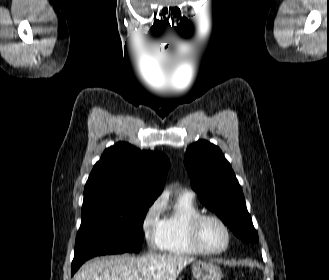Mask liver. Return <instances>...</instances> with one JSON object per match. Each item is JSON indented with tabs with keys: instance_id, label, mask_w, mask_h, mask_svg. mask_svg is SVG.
Wrapping results in <instances>:
<instances>
[{
	"instance_id": "liver-1",
	"label": "liver",
	"mask_w": 329,
	"mask_h": 280,
	"mask_svg": "<svg viewBox=\"0 0 329 280\" xmlns=\"http://www.w3.org/2000/svg\"><path fill=\"white\" fill-rule=\"evenodd\" d=\"M193 261L191 257L154 253L97 258L85 263L74 280H176Z\"/></svg>"
}]
</instances>
